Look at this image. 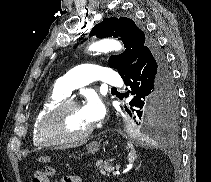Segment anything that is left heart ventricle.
I'll use <instances>...</instances> for the list:
<instances>
[{
    "label": "left heart ventricle",
    "mask_w": 211,
    "mask_h": 182,
    "mask_svg": "<svg viewBox=\"0 0 211 182\" xmlns=\"http://www.w3.org/2000/svg\"><path fill=\"white\" fill-rule=\"evenodd\" d=\"M90 126L91 124L84 118L81 108L70 107L54 120L51 132L57 137H77Z\"/></svg>",
    "instance_id": "b2bd125f"
}]
</instances>
